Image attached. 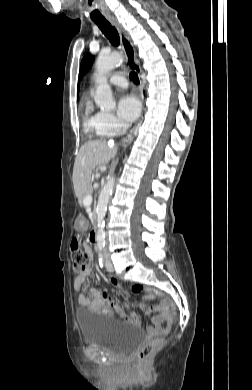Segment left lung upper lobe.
Segmentation results:
<instances>
[{"label": "left lung upper lobe", "instance_id": "1", "mask_svg": "<svg viewBox=\"0 0 252 390\" xmlns=\"http://www.w3.org/2000/svg\"><path fill=\"white\" fill-rule=\"evenodd\" d=\"M92 59H93V56L90 55V54L86 55V56L83 58V60H82V62H81V66H80V75H79L80 79H81L82 76L86 73V71H87L88 69H90L91 64H92Z\"/></svg>", "mask_w": 252, "mask_h": 390}]
</instances>
